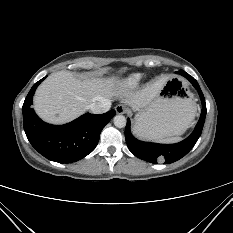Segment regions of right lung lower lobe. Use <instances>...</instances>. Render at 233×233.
<instances>
[{"label": "right lung lower lobe", "mask_w": 233, "mask_h": 233, "mask_svg": "<svg viewBox=\"0 0 233 233\" xmlns=\"http://www.w3.org/2000/svg\"><path fill=\"white\" fill-rule=\"evenodd\" d=\"M41 79L33 85L23 107V122L31 145L44 157L59 163H72L91 153L98 144L100 133L115 110L104 114H84L64 125L43 122L31 108L32 99Z\"/></svg>", "instance_id": "98d812e1"}]
</instances>
